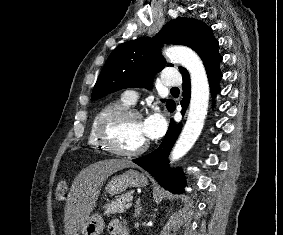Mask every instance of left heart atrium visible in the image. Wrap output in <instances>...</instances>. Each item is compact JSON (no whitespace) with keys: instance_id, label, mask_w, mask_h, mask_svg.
I'll use <instances>...</instances> for the list:
<instances>
[{"instance_id":"obj_1","label":"left heart atrium","mask_w":283,"mask_h":235,"mask_svg":"<svg viewBox=\"0 0 283 235\" xmlns=\"http://www.w3.org/2000/svg\"><path fill=\"white\" fill-rule=\"evenodd\" d=\"M142 129L147 140L159 138L166 129L165 118L159 113L151 114L142 121Z\"/></svg>"}]
</instances>
